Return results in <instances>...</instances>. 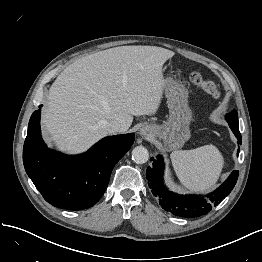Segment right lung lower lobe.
I'll return each instance as SVG.
<instances>
[{
	"instance_id": "98d812e1",
	"label": "right lung lower lobe",
	"mask_w": 262,
	"mask_h": 262,
	"mask_svg": "<svg viewBox=\"0 0 262 262\" xmlns=\"http://www.w3.org/2000/svg\"><path fill=\"white\" fill-rule=\"evenodd\" d=\"M133 142V133L116 135L100 140L84 154H61L47 148L42 140L39 109L29 121L23 163L47 202L63 209L81 210L99 201L108 186L113 167Z\"/></svg>"
}]
</instances>
